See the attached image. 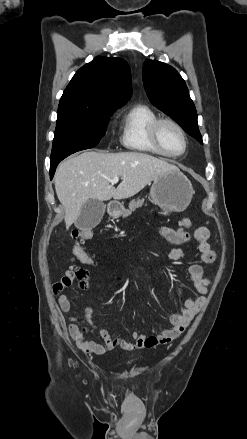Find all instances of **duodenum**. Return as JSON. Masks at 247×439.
<instances>
[{"label": "duodenum", "mask_w": 247, "mask_h": 439, "mask_svg": "<svg viewBox=\"0 0 247 439\" xmlns=\"http://www.w3.org/2000/svg\"><path fill=\"white\" fill-rule=\"evenodd\" d=\"M118 211V207L116 205H111L109 207V213L112 215Z\"/></svg>", "instance_id": "duodenum-1"}]
</instances>
